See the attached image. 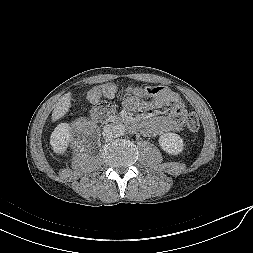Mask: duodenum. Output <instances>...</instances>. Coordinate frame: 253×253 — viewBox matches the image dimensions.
<instances>
[{
    "mask_svg": "<svg viewBox=\"0 0 253 253\" xmlns=\"http://www.w3.org/2000/svg\"><path fill=\"white\" fill-rule=\"evenodd\" d=\"M106 115H107L106 110L102 106H95L91 112V118L94 121H99V120L105 118ZM112 119L118 124L125 125L131 131H137L139 129L138 123L130 117L118 116V117H113Z\"/></svg>",
    "mask_w": 253,
    "mask_h": 253,
    "instance_id": "duodenum-1",
    "label": "duodenum"
}]
</instances>
